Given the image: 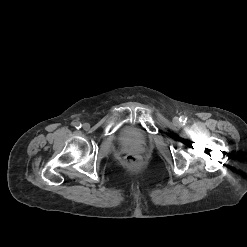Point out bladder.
Segmentation results:
<instances>
[{
	"instance_id": "bladder-1",
	"label": "bladder",
	"mask_w": 247,
	"mask_h": 247,
	"mask_svg": "<svg viewBox=\"0 0 247 247\" xmlns=\"http://www.w3.org/2000/svg\"><path fill=\"white\" fill-rule=\"evenodd\" d=\"M120 137L125 144L129 145H140L145 141V135L132 127L124 128Z\"/></svg>"
}]
</instances>
